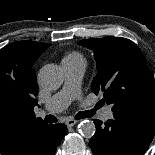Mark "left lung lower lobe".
Segmentation results:
<instances>
[{
	"mask_svg": "<svg viewBox=\"0 0 155 155\" xmlns=\"http://www.w3.org/2000/svg\"><path fill=\"white\" fill-rule=\"evenodd\" d=\"M93 121L96 133L89 146L94 155H143L155 134V109L126 110L105 123Z\"/></svg>",
	"mask_w": 155,
	"mask_h": 155,
	"instance_id": "1",
	"label": "left lung lower lobe"
}]
</instances>
